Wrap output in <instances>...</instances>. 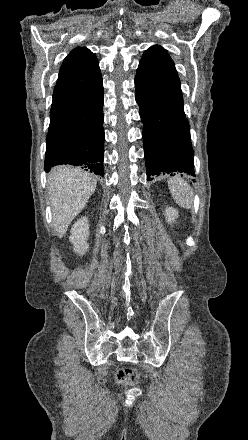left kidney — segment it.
<instances>
[{
  "label": "left kidney",
  "instance_id": "5707ae66",
  "mask_svg": "<svg viewBox=\"0 0 248 440\" xmlns=\"http://www.w3.org/2000/svg\"><path fill=\"white\" fill-rule=\"evenodd\" d=\"M178 217V211L174 207H166L165 218L170 224L174 223Z\"/></svg>",
  "mask_w": 248,
  "mask_h": 440
}]
</instances>
